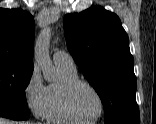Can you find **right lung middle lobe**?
Wrapping results in <instances>:
<instances>
[{
    "label": "right lung middle lobe",
    "instance_id": "right-lung-middle-lobe-1",
    "mask_svg": "<svg viewBox=\"0 0 156 124\" xmlns=\"http://www.w3.org/2000/svg\"><path fill=\"white\" fill-rule=\"evenodd\" d=\"M33 68L0 64V104L27 108L25 89Z\"/></svg>",
    "mask_w": 156,
    "mask_h": 124
}]
</instances>
